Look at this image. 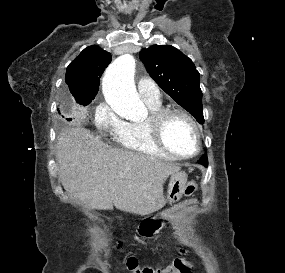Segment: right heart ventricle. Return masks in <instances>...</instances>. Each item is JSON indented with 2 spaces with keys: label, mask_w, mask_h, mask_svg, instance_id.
I'll use <instances>...</instances> for the list:
<instances>
[{
  "label": "right heart ventricle",
  "mask_w": 285,
  "mask_h": 273,
  "mask_svg": "<svg viewBox=\"0 0 285 273\" xmlns=\"http://www.w3.org/2000/svg\"><path fill=\"white\" fill-rule=\"evenodd\" d=\"M151 113L163 108L160 102H146ZM116 142L124 149L137 153L174 159L163 151L153 140L149 132L147 120L142 122H125L122 130L115 137Z\"/></svg>",
  "instance_id": "1"
}]
</instances>
